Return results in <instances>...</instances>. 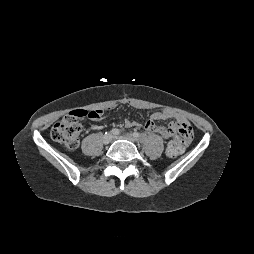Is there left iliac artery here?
Segmentation results:
<instances>
[{"label":"left iliac artery","mask_w":254,"mask_h":254,"mask_svg":"<svg viewBox=\"0 0 254 254\" xmlns=\"http://www.w3.org/2000/svg\"><path fill=\"white\" fill-rule=\"evenodd\" d=\"M133 136H134V138H136V139L140 138V134H139L138 132H134V133H133Z\"/></svg>","instance_id":"left-iliac-artery-1"}]
</instances>
